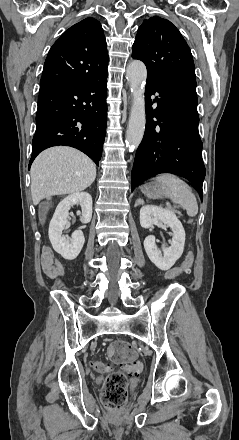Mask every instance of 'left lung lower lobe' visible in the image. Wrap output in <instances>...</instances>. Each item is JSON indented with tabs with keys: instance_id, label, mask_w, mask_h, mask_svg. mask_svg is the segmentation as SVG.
Here are the masks:
<instances>
[{
	"instance_id": "1",
	"label": "left lung lower lobe",
	"mask_w": 239,
	"mask_h": 440,
	"mask_svg": "<svg viewBox=\"0 0 239 440\" xmlns=\"http://www.w3.org/2000/svg\"><path fill=\"white\" fill-rule=\"evenodd\" d=\"M155 93L158 96L152 101ZM145 101L147 123L134 160L131 188L157 174L172 173L192 182L202 198L206 172L198 132L196 80L147 77Z\"/></svg>"
}]
</instances>
